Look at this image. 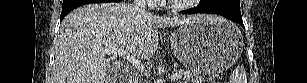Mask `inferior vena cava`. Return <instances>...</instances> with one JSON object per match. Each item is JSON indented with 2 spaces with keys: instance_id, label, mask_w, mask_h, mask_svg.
<instances>
[{
  "instance_id": "1",
  "label": "inferior vena cava",
  "mask_w": 307,
  "mask_h": 83,
  "mask_svg": "<svg viewBox=\"0 0 307 83\" xmlns=\"http://www.w3.org/2000/svg\"><path fill=\"white\" fill-rule=\"evenodd\" d=\"M135 7L142 10L144 14H149L146 10V0H135L134 1Z\"/></svg>"
}]
</instances>
